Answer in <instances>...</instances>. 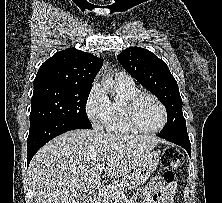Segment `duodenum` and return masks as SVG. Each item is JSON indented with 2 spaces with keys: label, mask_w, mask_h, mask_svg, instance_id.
I'll return each mask as SVG.
<instances>
[{
  "label": "duodenum",
  "mask_w": 222,
  "mask_h": 203,
  "mask_svg": "<svg viewBox=\"0 0 222 203\" xmlns=\"http://www.w3.org/2000/svg\"><path fill=\"white\" fill-rule=\"evenodd\" d=\"M103 190L95 189L90 193V200L92 203H100L103 198Z\"/></svg>",
  "instance_id": "duodenum-1"
}]
</instances>
